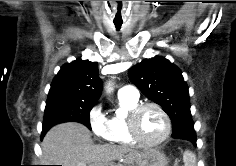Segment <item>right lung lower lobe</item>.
Instances as JSON below:
<instances>
[{
  "instance_id": "right-lung-lower-lobe-1",
  "label": "right lung lower lobe",
  "mask_w": 236,
  "mask_h": 166,
  "mask_svg": "<svg viewBox=\"0 0 236 166\" xmlns=\"http://www.w3.org/2000/svg\"><path fill=\"white\" fill-rule=\"evenodd\" d=\"M45 133H46V132H42V136H41V137H43V136L45 135Z\"/></svg>"
}]
</instances>
